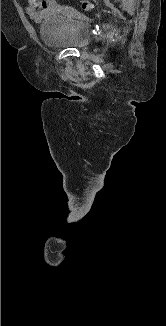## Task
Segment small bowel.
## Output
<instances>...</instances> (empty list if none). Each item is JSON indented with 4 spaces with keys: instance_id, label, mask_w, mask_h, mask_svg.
<instances>
[{
    "instance_id": "c3829d8e",
    "label": "small bowel",
    "mask_w": 166,
    "mask_h": 326,
    "mask_svg": "<svg viewBox=\"0 0 166 326\" xmlns=\"http://www.w3.org/2000/svg\"><path fill=\"white\" fill-rule=\"evenodd\" d=\"M68 13V7L60 6L56 0H27L26 13L34 21H40L59 12Z\"/></svg>"
}]
</instances>
